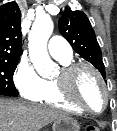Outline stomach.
Segmentation results:
<instances>
[{
	"label": "stomach",
	"instance_id": "1",
	"mask_svg": "<svg viewBox=\"0 0 117 131\" xmlns=\"http://www.w3.org/2000/svg\"><path fill=\"white\" fill-rule=\"evenodd\" d=\"M80 125L77 120L67 116L53 122L52 131H79Z\"/></svg>",
	"mask_w": 117,
	"mask_h": 131
}]
</instances>
